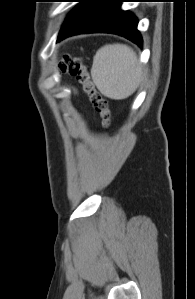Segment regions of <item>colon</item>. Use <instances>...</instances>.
Masks as SVG:
<instances>
[{
	"mask_svg": "<svg viewBox=\"0 0 195 299\" xmlns=\"http://www.w3.org/2000/svg\"><path fill=\"white\" fill-rule=\"evenodd\" d=\"M59 70L68 72L76 78L96 110L107 121L111 113L109 101L97 90L83 59L79 56L65 55L60 63Z\"/></svg>",
	"mask_w": 195,
	"mask_h": 299,
	"instance_id": "1",
	"label": "colon"
}]
</instances>
